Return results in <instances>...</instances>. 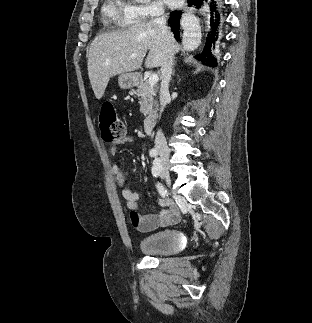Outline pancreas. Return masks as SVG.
<instances>
[{"label": "pancreas", "mask_w": 312, "mask_h": 323, "mask_svg": "<svg viewBox=\"0 0 312 323\" xmlns=\"http://www.w3.org/2000/svg\"><path fill=\"white\" fill-rule=\"evenodd\" d=\"M136 94L141 98V114H143V116H148V118H152L158 108V104L155 100L156 90L154 86H151L147 80L146 82H141L138 90H136Z\"/></svg>", "instance_id": "obj_1"}]
</instances>
